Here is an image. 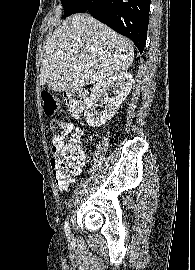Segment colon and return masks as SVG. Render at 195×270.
Here are the masks:
<instances>
[{
    "mask_svg": "<svg viewBox=\"0 0 195 270\" xmlns=\"http://www.w3.org/2000/svg\"><path fill=\"white\" fill-rule=\"evenodd\" d=\"M41 97L44 113L48 116L55 115L59 111L58 98L47 91L43 92ZM63 99L73 117L78 118L83 114L87 102V94L84 90H69L64 93ZM50 127L54 137L66 136L67 122L64 119H53ZM84 158L85 155L77 137L63 141L61 146L53 150L51 165L56 184L61 190L66 189L71 178L79 173Z\"/></svg>",
    "mask_w": 195,
    "mask_h": 270,
    "instance_id": "1",
    "label": "colon"
}]
</instances>
